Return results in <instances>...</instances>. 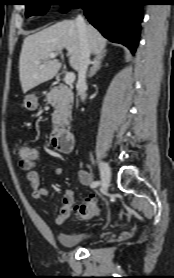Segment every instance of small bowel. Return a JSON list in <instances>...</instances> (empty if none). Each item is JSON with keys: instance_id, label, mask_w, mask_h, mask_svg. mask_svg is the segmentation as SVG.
Wrapping results in <instances>:
<instances>
[{"instance_id": "obj_1", "label": "small bowel", "mask_w": 174, "mask_h": 278, "mask_svg": "<svg viewBox=\"0 0 174 278\" xmlns=\"http://www.w3.org/2000/svg\"><path fill=\"white\" fill-rule=\"evenodd\" d=\"M38 162V156L34 159H20L19 165L21 169L25 172V177L29 182L31 188V196L34 200H42L49 196L50 190L48 188L40 187L39 175L36 172ZM55 175L61 174V168H55ZM79 182L87 187L92 188L93 177L90 172L85 170H80L78 172ZM74 204V192L72 190H66L62 198V206L55 217V222L58 225L64 224L68 221L72 207Z\"/></svg>"}]
</instances>
